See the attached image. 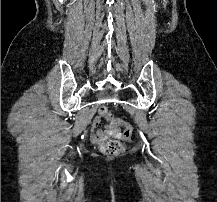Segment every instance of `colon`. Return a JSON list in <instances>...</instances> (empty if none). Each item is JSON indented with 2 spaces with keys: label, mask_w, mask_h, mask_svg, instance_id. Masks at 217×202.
<instances>
[{
  "label": "colon",
  "mask_w": 217,
  "mask_h": 202,
  "mask_svg": "<svg viewBox=\"0 0 217 202\" xmlns=\"http://www.w3.org/2000/svg\"><path fill=\"white\" fill-rule=\"evenodd\" d=\"M99 115L102 119L106 120H109L110 117L113 116V114H110L107 107H104V105H101ZM114 120V122L109 121V126H124L125 129L121 138L107 141L102 145V151L108 155H117L122 150V141H132V127H127L128 125L124 118H115Z\"/></svg>",
  "instance_id": "colon-1"
}]
</instances>
